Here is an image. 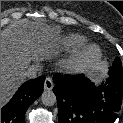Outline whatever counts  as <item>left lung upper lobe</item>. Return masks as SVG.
I'll return each instance as SVG.
<instances>
[{"instance_id":"1","label":"left lung upper lobe","mask_w":123,"mask_h":123,"mask_svg":"<svg viewBox=\"0 0 123 123\" xmlns=\"http://www.w3.org/2000/svg\"><path fill=\"white\" fill-rule=\"evenodd\" d=\"M108 75L119 80H123L122 63L118 57L114 60L113 66L110 67Z\"/></svg>"}]
</instances>
